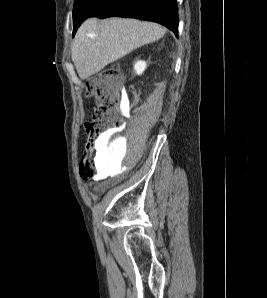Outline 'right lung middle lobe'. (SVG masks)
<instances>
[{"label":"right lung middle lobe","instance_id":"obj_1","mask_svg":"<svg viewBox=\"0 0 267 298\" xmlns=\"http://www.w3.org/2000/svg\"><path fill=\"white\" fill-rule=\"evenodd\" d=\"M100 2L101 0H75L73 8L74 28L88 18Z\"/></svg>","mask_w":267,"mask_h":298}]
</instances>
